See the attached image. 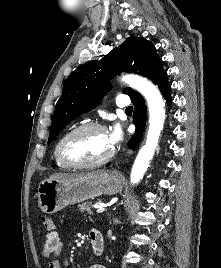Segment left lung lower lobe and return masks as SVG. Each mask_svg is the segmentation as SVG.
<instances>
[{"label":"left lung lower lobe","mask_w":221,"mask_h":268,"mask_svg":"<svg viewBox=\"0 0 221 268\" xmlns=\"http://www.w3.org/2000/svg\"><path fill=\"white\" fill-rule=\"evenodd\" d=\"M158 87L163 95V97L166 99L168 106L170 107V104L172 102L171 96H170V84L167 80V77L164 78L159 84ZM134 107V113H133V123L136 126V130L130 141L128 142V148L132 150H136L140 139L142 137V133L145 128V121H146V106L144 104L143 97L139 94L136 97L131 99ZM106 166H109L107 164Z\"/></svg>","instance_id":"obj_1"}]
</instances>
